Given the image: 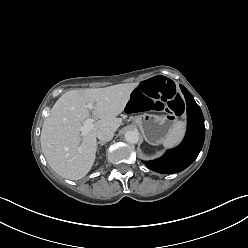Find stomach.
<instances>
[{
	"mask_svg": "<svg viewBox=\"0 0 248 248\" xmlns=\"http://www.w3.org/2000/svg\"><path fill=\"white\" fill-rule=\"evenodd\" d=\"M134 121L140 128L145 141L151 145L161 144L171 129L178 125V118L174 114L159 116L143 113L136 116Z\"/></svg>",
	"mask_w": 248,
	"mask_h": 248,
	"instance_id": "obj_1",
	"label": "stomach"
}]
</instances>
